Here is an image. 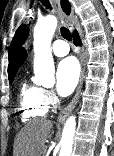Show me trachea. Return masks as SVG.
<instances>
[{
  "instance_id": "1",
  "label": "trachea",
  "mask_w": 114,
  "mask_h": 156,
  "mask_svg": "<svg viewBox=\"0 0 114 156\" xmlns=\"http://www.w3.org/2000/svg\"><path fill=\"white\" fill-rule=\"evenodd\" d=\"M43 6H45L47 9H52L51 4L49 0H40ZM61 35L68 41L72 40V36L70 31L66 27H61Z\"/></svg>"
}]
</instances>
